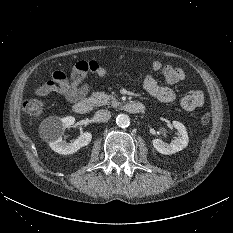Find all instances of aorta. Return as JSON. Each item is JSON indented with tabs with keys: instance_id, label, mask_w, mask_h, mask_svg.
<instances>
[{
	"instance_id": "obj_1",
	"label": "aorta",
	"mask_w": 233,
	"mask_h": 233,
	"mask_svg": "<svg viewBox=\"0 0 233 233\" xmlns=\"http://www.w3.org/2000/svg\"><path fill=\"white\" fill-rule=\"evenodd\" d=\"M116 124L121 128H126L130 125V118L127 114H119L116 117Z\"/></svg>"
}]
</instances>
